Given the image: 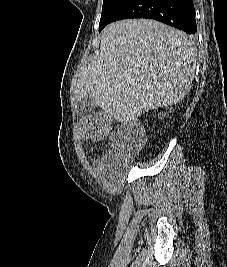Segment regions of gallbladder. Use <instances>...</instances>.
Here are the masks:
<instances>
[{
	"label": "gallbladder",
	"mask_w": 227,
	"mask_h": 267,
	"mask_svg": "<svg viewBox=\"0 0 227 267\" xmlns=\"http://www.w3.org/2000/svg\"><path fill=\"white\" fill-rule=\"evenodd\" d=\"M97 105L90 96H86L77 102V112L82 117L91 116Z\"/></svg>",
	"instance_id": "bac80fb5"
}]
</instances>
